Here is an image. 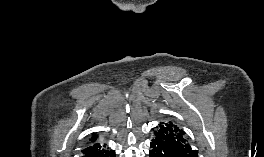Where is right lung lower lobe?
Instances as JSON below:
<instances>
[{
	"label": "right lung lower lobe",
	"mask_w": 264,
	"mask_h": 157,
	"mask_svg": "<svg viewBox=\"0 0 264 157\" xmlns=\"http://www.w3.org/2000/svg\"><path fill=\"white\" fill-rule=\"evenodd\" d=\"M82 152V157H116L114 150L109 149L100 143H93L86 147Z\"/></svg>",
	"instance_id": "obj_1"
}]
</instances>
